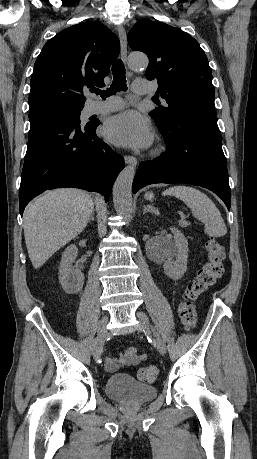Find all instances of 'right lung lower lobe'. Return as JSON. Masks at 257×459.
Wrapping results in <instances>:
<instances>
[{"instance_id": "right-lung-lower-lobe-1", "label": "right lung lower lobe", "mask_w": 257, "mask_h": 459, "mask_svg": "<svg viewBox=\"0 0 257 459\" xmlns=\"http://www.w3.org/2000/svg\"><path fill=\"white\" fill-rule=\"evenodd\" d=\"M99 121L85 125L51 117L30 118L21 175L19 209L45 190L75 187L99 192L109 200L124 158L96 135Z\"/></svg>"}]
</instances>
